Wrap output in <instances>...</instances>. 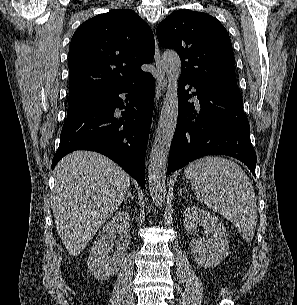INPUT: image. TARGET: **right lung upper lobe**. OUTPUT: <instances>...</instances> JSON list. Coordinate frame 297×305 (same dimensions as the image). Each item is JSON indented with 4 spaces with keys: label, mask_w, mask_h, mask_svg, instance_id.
<instances>
[{
    "label": "right lung upper lobe",
    "mask_w": 297,
    "mask_h": 305,
    "mask_svg": "<svg viewBox=\"0 0 297 305\" xmlns=\"http://www.w3.org/2000/svg\"><path fill=\"white\" fill-rule=\"evenodd\" d=\"M150 27L131 9L88 19L69 46V103L103 96L142 77L154 58Z\"/></svg>",
    "instance_id": "right-lung-upper-lobe-1"
}]
</instances>
